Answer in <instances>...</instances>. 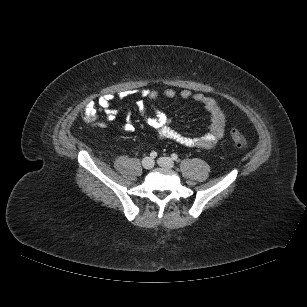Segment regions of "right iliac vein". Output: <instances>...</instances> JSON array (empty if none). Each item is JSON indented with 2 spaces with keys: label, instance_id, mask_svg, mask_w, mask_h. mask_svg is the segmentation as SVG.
Instances as JSON below:
<instances>
[{
  "label": "right iliac vein",
  "instance_id": "63e3f726",
  "mask_svg": "<svg viewBox=\"0 0 307 307\" xmlns=\"http://www.w3.org/2000/svg\"><path fill=\"white\" fill-rule=\"evenodd\" d=\"M142 166H143L145 169H152L153 166H154V161H153L150 157H145V158L142 160Z\"/></svg>",
  "mask_w": 307,
  "mask_h": 307
}]
</instances>
